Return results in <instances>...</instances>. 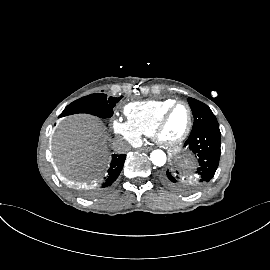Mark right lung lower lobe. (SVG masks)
Instances as JSON below:
<instances>
[{
  "label": "right lung lower lobe",
  "mask_w": 270,
  "mask_h": 270,
  "mask_svg": "<svg viewBox=\"0 0 270 270\" xmlns=\"http://www.w3.org/2000/svg\"><path fill=\"white\" fill-rule=\"evenodd\" d=\"M125 158H126V155H124V154L112 155L111 166L108 170V175L105 177L104 182L100 186L101 189L109 187L117 179V177L119 176V174L123 168Z\"/></svg>",
  "instance_id": "98d812e1"
}]
</instances>
